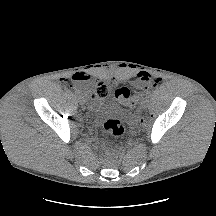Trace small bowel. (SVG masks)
I'll return each instance as SVG.
<instances>
[{"label":"small bowel","mask_w":216,"mask_h":216,"mask_svg":"<svg viewBox=\"0 0 216 216\" xmlns=\"http://www.w3.org/2000/svg\"><path fill=\"white\" fill-rule=\"evenodd\" d=\"M70 79L72 82H74L75 85H80V84H84L85 82H87L89 78L84 73L76 72L71 76ZM117 90L123 94H127V95L130 94L129 89L125 86L120 87Z\"/></svg>","instance_id":"c3829d8e"}]
</instances>
